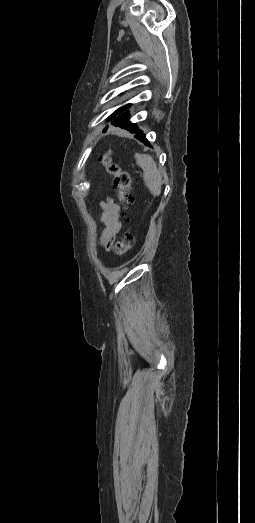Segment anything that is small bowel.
<instances>
[{"instance_id": "obj_1", "label": "small bowel", "mask_w": 255, "mask_h": 523, "mask_svg": "<svg viewBox=\"0 0 255 523\" xmlns=\"http://www.w3.org/2000/svg\"><path fill=\"white\" fill-rule=\"evenodd\" d=\"M100 207L102 209L100 221L104 226L101 243L105 248L110 249L121 228L119 222L120 207L109 198L102 201Z\"/></svg>"}]
</instances>
